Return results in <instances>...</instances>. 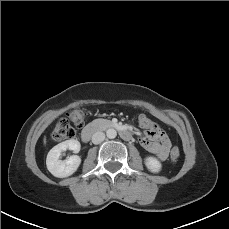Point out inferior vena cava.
<instances>
[{"mask_svg":"<svg viewBox=\"0 0 229 229\" xmlns=\"http://www.w3.org/2000/svg\"><path fill=\"white\" fill-rule=\"evenodd\" d=\"M104 139H105V134L103 132H100V131L94 133L92 136V142L94 144H99V143L103 142Z\"/></svg>","mask_w":229,"mask_h":229,"instance_id":"inferior-vena-cava-1","label":"inferior vena cava"}]
</instances>
